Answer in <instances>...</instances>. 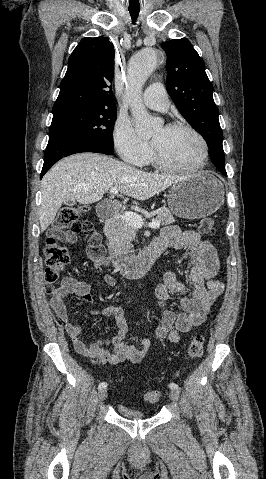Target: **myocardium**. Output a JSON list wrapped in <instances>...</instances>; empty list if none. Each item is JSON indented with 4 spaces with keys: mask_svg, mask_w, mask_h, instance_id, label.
Listing matches in <instances>:
<instances>
[{
    "mask_svg": "<svg viewBox=\"0 0 266 479\" xmlns=\"http://www.w3.org/2000/svg\"><path fill=\"white\" fill-rule=\"evenodd\" d=\"M165 128L170 130H185L193 134L197 138L198 142L200 143L201 157L198 163L193 166L171 165L165 162L162 159V157L159 155L157 150L153 147V158L157 167L161 170L168 171V172L194 173V172L201 171L206 166L208 158H209L208 144L205 138L202 136V134L191 125L185 124V123H171V124H168Z\"/></svg>",
    "mask_w": 266,
    "mask_h": 479,
    "instance_id": "f54148a6",
    "label": "myocardium"
}]
</instances>
